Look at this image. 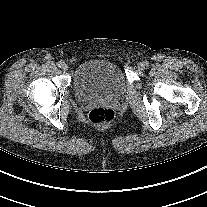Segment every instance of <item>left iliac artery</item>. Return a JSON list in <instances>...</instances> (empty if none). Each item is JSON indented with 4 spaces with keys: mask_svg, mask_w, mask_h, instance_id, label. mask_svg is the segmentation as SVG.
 Returning a JSON list of instances; mask_svg holds the SVG:
<instances>
[{
    "mask_svg": "<svg viewBox=\"0 0 207 207\" xmlns=\"http://www.w3.org/2000/svg\"><path fill=\"white\" fill-rule=\"evenodd\" d=\"M145 63V66L148 67L149 66V63L146 61L144 62Z\"/></svg>",
    "mask_w": 207,
    "mask_h": 207,
    "instance_id": "obj_1",
    "label": "left iliac artery"
}]
</instances>
